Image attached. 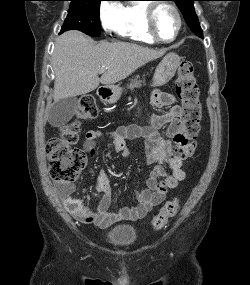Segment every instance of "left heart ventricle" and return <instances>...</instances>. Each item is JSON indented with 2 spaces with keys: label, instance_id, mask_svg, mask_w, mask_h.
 I'll return each mask as SVG.
<instances>
[{
  "label": "left heart ventricle",
  "instance_id": "1",
  "mask_svg": "<svg viewBox=\"0 0 250 285\" xmlns=\"http://www.w3.org/2000/svg\"><path fill=\"white\" fill-rule=\"evenodd\" d=\"M155 28L161 38H172L178 28V21L174 12L167 7H160L156 13Z\"/></svg>",
  "mask_w": 250,
  "mask_h": 285
}]
</instances>
